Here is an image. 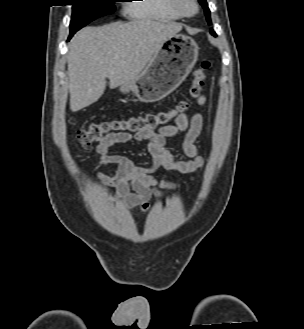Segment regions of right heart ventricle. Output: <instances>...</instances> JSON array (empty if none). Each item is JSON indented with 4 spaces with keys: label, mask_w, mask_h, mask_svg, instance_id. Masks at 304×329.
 I'll return each instance as SVG.
<instances>
[{
    "label": "right heart ventricle",
    "mask_w": 304,
    "mask_h": 329,
    "mask_svg": "<svg viewBox=\"0 0 304 329\" xmlns=\"http://www.w3.org/2000/svg\"><path fill=\"white\" fill-rule=\"evenodd\" d=\"M127 4L130 15L138 19H151L160 21H177L181 19L171 7L169 0H133Z\"/></svg>",
    "instance_id": "obj_1"
}]
</instances>
